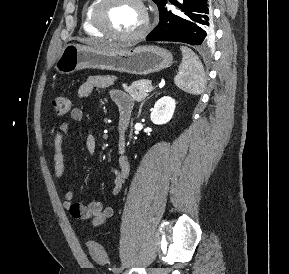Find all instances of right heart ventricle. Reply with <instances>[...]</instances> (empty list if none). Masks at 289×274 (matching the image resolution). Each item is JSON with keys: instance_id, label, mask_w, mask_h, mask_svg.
I'll use <instances>...</instances> for the list:
<instances>
[{"instance_id": "right-heart-ventricle-1", "label": "right heart ventricle", "mask_w": 289, "mask_h": 274, "mask_svg": "<svg viewBox=\"0 0 289 274\" xmlns=\"http://www.w3.org/2000/svg\"><path fill=\"white\" fill-rule=\"evenodd\" d=\"M98 2V0H89L82 12V27L85 33L91 36H96V37H103L104 34L101 33L93 24L92 22V13L95 4Z\"/></svg>"}]
</instances>
